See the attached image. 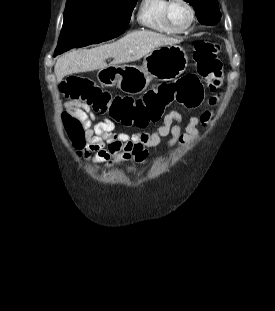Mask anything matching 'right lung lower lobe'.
<instances>
[{
	"label": "right lung lower lobe",
	"mask_w": 275,
	"mask_h": 311,
	"mask_svg": "<svg viewBox=\"0 0 275 311\" xmlns=\"http://www.w3.org/2000/svg\"><path fill=\"white\" fill-rule=\"evenodd\" d=\"M125 30H126V27H120L118 30L115 31L114 36H112L111 38H104V39L100 40V42L112 39V38L122 34Z\"/></svg>",
	"instance_id": "right-lung-lower-lobe-1"
}]
</instances>
